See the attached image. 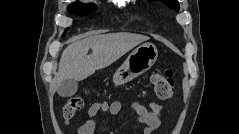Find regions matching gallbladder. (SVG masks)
Returning a JSON list of instances; mask_svg holds the SVG:
<instances>
[{"label":"gallbladder","instance_id":"gallbladder-1","mask_svg":"<svg viewBox=\"0 0 239 134\" xmlns=\"http://www.w3.org/2000/svg\"><path fill=\"white\" fill-rule=\"evenodd\" d=\"M78 83L75 80H65L58 85L57 92L61 97H70L76 93Z\"/></svg>","mask_w":239,"mask_h":134}]
</instances>
